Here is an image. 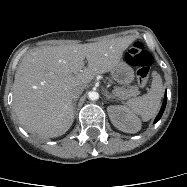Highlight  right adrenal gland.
<instances>
[{
    "label": "right adrenal gland",
    "instance_id": "2a0ac1e0",
    "mask_svg": "<svg viewBox=\"0 0 187 187\" xmlns=\"http://www.w3.org/2000/svg\"><path fill=\"white\" fill-rule=\"evenodd\" d=\"M78 99H74L73 100V105H74V109H76V101H77Z\"/></svg>",
    "mask_w": 187,
    "mask_h": 187
}]
</instances>
